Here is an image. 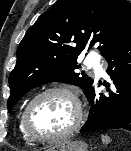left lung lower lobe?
I'll list each match as a JSON object with an SVG mask.
<instances>
[{"label":"left lung lower lobe","mask_w":131,"mask_h":151,"mask_svg":"<svg viewBox=\"0 0 131 151\" xmlns=\"http://www.w3.org/2000/svg\"><path fill=\"white\" fill-rule=\"evenodd\" d=\"M105 59L113 83L111 87L109 83H103L105 93H97L93 83L86 93L91 107L88 119L80 129L82 133L96 129L131 131V39L108 52Z\"/></svg>","instance_id":"obj_1"}]
</instances>
